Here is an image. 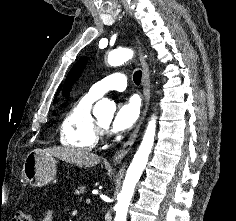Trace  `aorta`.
Returning a JSON list of instances; mask_svg holds the SVG:
<instances>
[{
  "label": "aorta",
  "mask_w": 236,
  "mask_h": 221,
  "mask_svg": "<svg viewBox=\"0 0 236 221\" xmlns=\"http://www.w3.org/2000/svg\"><path fill=\"white\" fill-rule=\"evenodd\" d=\"M133 57V51L129 48H120L114 50L108 55V63L111 66H119ZM116 110L114 102L107 98L99 100L93 109L96 117H113ZM156 132V117L153 116L148 123L142 142L134 155V158L127 170L122 190L118 196V202L115 206L116 216L114 221H126L127 211L134 194V189L139 181L143 170L148 162V157L154 145V136Z\"/></svg>",
  "instance_id": "obj_1"
}]
</instances>
